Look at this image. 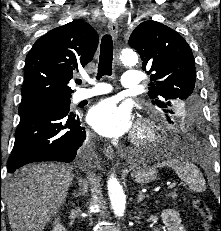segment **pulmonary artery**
<instances>
[{
    "instance_id": "1",
    "label": "pulmonary artery",
    "mask_w": 221,
    "mask_h": 231,
    "mask_svg": "<svg viewBox=\"0 0 221 231\" xmlns=\"http://www.w3.org/2000/svg\"><path fill=\"white\" fill-rule=\"evenodd\" d=\"M94 86L90 89H79L73 95V102L77 103L85 99L92 98L97 95L105 94L111 91L106 84L89 80ZM121 84L124 88H136L141 84V75L137 71H126L123 74Z\"/></svg>"
}]
</instances>
